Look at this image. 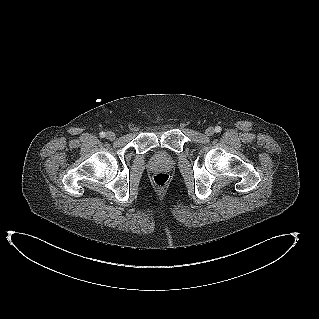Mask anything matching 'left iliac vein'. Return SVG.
Masks as SVG:
<instances>
[{"mask_svg":"<svg viewBox=\"0 0 319 319\" xmlns=\"http://www.w3.org/2000/svg\"><path fill=\"white\" fill-rule=\"evenodd\" d=\"M206 135L211 136L214 134V128L213 127H208L205 131Z\"/></svg>","mask_w":319,"mask_h":319,"instance_id":"obj_1","label":"left iliac vein"}]
</instances>
